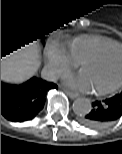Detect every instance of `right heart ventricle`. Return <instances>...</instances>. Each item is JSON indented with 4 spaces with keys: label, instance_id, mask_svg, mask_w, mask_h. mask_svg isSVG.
<instances>
[{
    "label": "right heart ventricle",
    "instance_id": "obj_1",
    "mask_svg": "<svg viewBox=\"0 0 122 154\" xmlns=\"http://www.w3.org/2000/svg\"><path fill=\"white\" fill-rule=\"evenodd\" d=\"M117 44L112 39L99 35H84L65 43L71 56L79 63L84 57Z\"/></svg>",
    "mask_w": 122,
    "mask_h": 154
}]
</instances>
